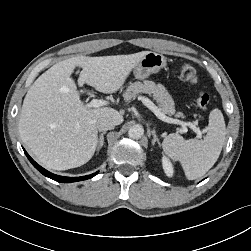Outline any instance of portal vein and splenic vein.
<instances>
[{"instance_id":"portal-vein-and-splenic-vein-1","label":"portal vein and splenic vein","mask_w":251,"mask_h":251,"mask_svg":"<svg viewBox=\"0 0 251 251\" xmlns=\"http://www.w3.org/2000/svg\"><path fill=\"white\" fill-rule=\"evenodd\" d=\"M139 100L143 102L145 106H147L159 119L162 121H165L167 123H173V124H179L182 126L181 132L187 133L188 129L186 126H189L194 132H196L198 135L201 134V131L199 128L195 127L192 123L190 122H183L177 119L169 118L167 117L161 110L148 98L146 97H139ZM107 104V101L101 100V99H92L90 103L86 104L87 107L91 108H98L101 106H104Z\"/></svg>"}]
</instances>
